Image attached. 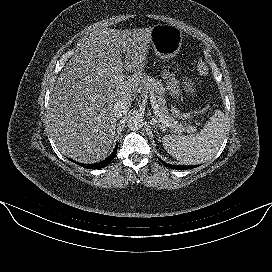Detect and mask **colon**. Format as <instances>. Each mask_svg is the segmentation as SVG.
I'll return each instance as SVG.
<instances>
[{"label": "colon", "instance_id": "1", "mask_svg": "<svg viewBox=\"0 0 272 272\" xmlns=\"http://www.w3.org/2000/svg\"><path fill=\"white\" fill-rule=\"evenodd\" d=\"M197 70L201 75H206L208 73V68L203 61L197 63ZM210 111V107H205L198 111H186L183 100H178L171 105V115L178 121H189Z\"/></svg>", "mask_w": 272, "mask_h": 272}]
</instances>
